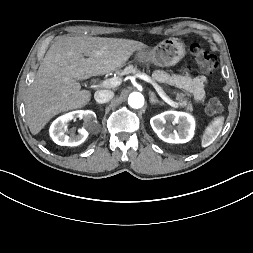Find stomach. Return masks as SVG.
<instances>
[{
  "label": "stomach",
  "mask_w": 253,
  "mask_h": 253,
  "mask_svg": "<svg viewBox=\"0 0 253 253\" xmlns=\"http://www.w3.org/2000/svg\"><path fill=\"white\" fill-rule=\"evenodd\" d=\"M186 54L185 45L176 38L165 39L153 49L137 50L135 60L140 63L152 62L158 66L176 65Z\"/></svg>",
  "instance_id": "0dacf381"
}]
</instances>
